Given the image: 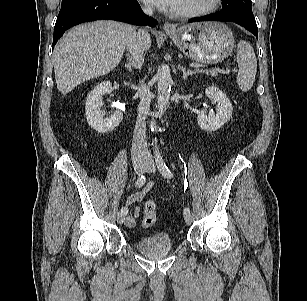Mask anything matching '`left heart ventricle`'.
I'll return each instance as SVG.
<instances>
[{
  "instance_id": "b2bd125f",
  "label": "left heart ventricle",
  "mask_w": 307,
  "mask_h": 301,
  "mask_svg": "<svg viewBox=\"0 0 307 301\" xmlns=\"http://www.w3.org/2000/svg\"><path fill=\"white\" fill-rule=\"evenodd\" d=\"M209 0H179L174 10H192L205 6Z\"/></svg>"
}]
</instances>
